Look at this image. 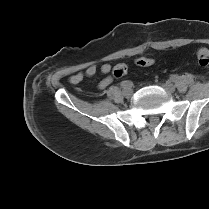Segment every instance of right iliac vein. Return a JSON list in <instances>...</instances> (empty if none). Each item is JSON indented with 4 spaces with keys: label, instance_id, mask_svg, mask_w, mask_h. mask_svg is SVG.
I'll use <instances>...</instances> for the list:
<instances>
[{
    "label": "right iliac vein",
    "instance_id": "1",
    "mask_svg": "<svg viewBox=\"0 0 209 209\" xmlns=\"http://www.w3.org/2000/svg\"><path fill=\"white\" fill-rule=\"evenodd\" d=\"M123 95L125 97H130L132 95V90L130 88H126L123 90Z\"/></svg>",
    "mask_w": 209,
    "mask_h": 209
}]
</instances>
